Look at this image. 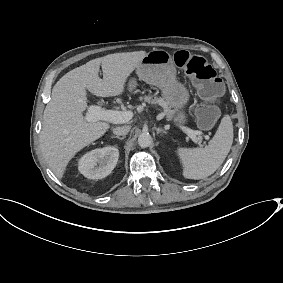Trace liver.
I'll use <instances>...</instances> for the list:
<instances>
[{
  "label": "liver",
  "mask_w": 283,
  "mask_h": 283,
  "mask_svg": "<svg viewBox=\"0 0 283 283\" xmlns=\"http://www.w3.org/2000/svg\"><path fill=\"white\" fill-rule=\"evenodd\" d=\"M146 55V51H133L96 58L69 71L54 85L43 113L40 146L45 161L59 179L64 178L76 154L110 128L107 122L90 123L84 118L87 91L102 98L123 95L129 77ZM100 66L104 80L99 78Z\"/></svg>",
  "instance_id": "1"
}]
</instances>
